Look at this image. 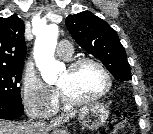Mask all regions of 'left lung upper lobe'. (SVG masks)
Here are the masks:
<instances>
[{"instance_id":"left-lung-upper-lobe-1","label":"left lung upper lobe","mask_w":153,"mask_h":134,"mask_svg":"<svg viewBox=\"0 0 153 134\" xmlns=\"http://www.w3.org/2000/svg\"><path fill=\"white\" fill-rule=\"evenodd\" d=\"M75 41L102 61L116 79L131 80L130 65L116 31L93 13L83 11L66 18Z\"/></svg>"}]
</instances>
